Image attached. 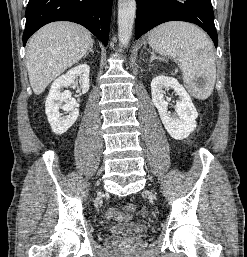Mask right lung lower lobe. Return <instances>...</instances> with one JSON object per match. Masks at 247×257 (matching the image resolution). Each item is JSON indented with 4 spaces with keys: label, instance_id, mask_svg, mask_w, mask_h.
<instances>
[{
    "label": "right lung lower lobe",
    "instance_id": "right-lung-lower-lobe-1",
    "mask_svg": "<svg viewBox=\"0 0 247 257\" xmlns=\"http://www.w3.org/2000/svg\"><path fill=\"white\" fill-rule=\"evenodd\" d=\"M112 0H29L23 45L39 28L54 21H72L108 43Z\"/></svg>",
    "mask_w": 247,
    "mask_h": 257
}]
</instances>
